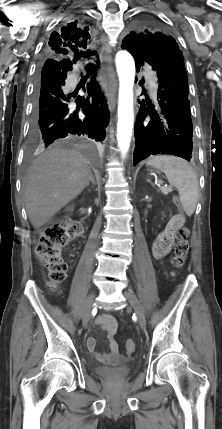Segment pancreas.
Returning a JSON list of instances; mask_svg holds the SVG:
<instances>
[{"label": "pancreas", "instance_id": "obj_1", "mask_svg": "<svg viewBox=\"0 0 222 429\" xmlns=\"http://www.w3.org/2000/svg\"><path fill=\"white\" fill-rule=\"evenodd\" d=\"M159 189L165 195L172 191L171 187H165V186H162Z\"/></svg>", "mask_w": 222, "mask_h": 429}]
</instances>
